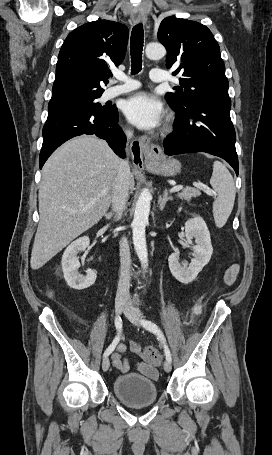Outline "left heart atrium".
<instances>
[{"mask_svg":"<svg viewBox=\"0 0 272 455\" xmlns=\"http://www.w3.org/2000/svg\"><path fill=\"white\" fill-rule=\"evenodd\" d=\"M123 110L125 116L132 124L144 130L157 127L163 117L161 103L144 92L130 97L124 103Z\"/></svg>","mask_w":272,"mask_h":455,"instance_id":"left-heart-atrium-1","label":"left heart atrium"}]
</instances>
